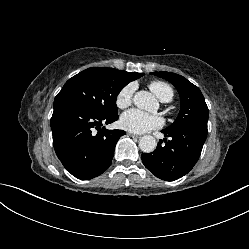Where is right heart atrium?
I'll return each instance as SVG.
<instances>
[{"instance_id":"1","label":"right heart atrium","mask_w":249,"mask_h":249,"mask_svg":"<svg viewBox=\"0 0 249 249\" xmlns=\"http://www.w3.org/2000/svg\"><path fill=\"white\" fill-rule=\"evenodd\" d=\"M134 91H135L134 84H128L124 86L116 96L117 107L120 109L128 107L132 103Z\"/></svg>"}]
</instances>
